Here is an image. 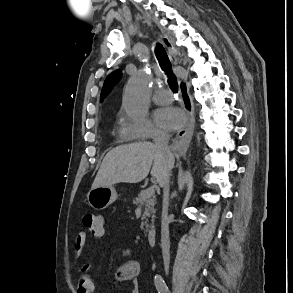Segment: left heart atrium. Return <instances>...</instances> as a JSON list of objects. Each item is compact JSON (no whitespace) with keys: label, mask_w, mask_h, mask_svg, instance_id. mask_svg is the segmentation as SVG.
I'll return each instance as SVG.
<instances>
[{"label":"left heart atrium","mask_w":293,"mask_h":293,"mask_svg":"<svg viewBox=\"0 0 293 293\" xmlns=\"http://www.w3.org/2000/svg\"><path fill=\"white\" fill-rule=\"evenodd\" d=\"M156 123L166 130H173L180 127L184 122L182 111L176 107H162L155 112Z\"/></svg>","instance_id":"obj_1"}]
</instances>
